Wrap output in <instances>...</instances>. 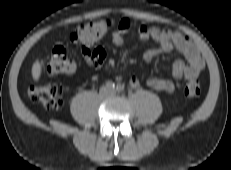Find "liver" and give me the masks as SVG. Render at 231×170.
<instances>
[{
    "label": "liver",
    "mask_w": 231,
    "mask_h": 170,
    "mask_svg": "<svg viewBox=\"0 0 231 170\" xmlns=\"http://www.w3.org/2000/svg\"><path fill=\"white\" fill-rule=\"evenodd\" d=\"M42 61L36 60L32 66V77L35 81H38L41 76Z\"/></svg>",
    "instance_id": "obj_1"
}]
</instances>
